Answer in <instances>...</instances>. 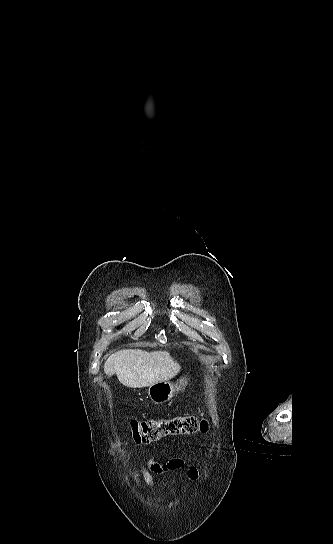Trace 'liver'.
<instances>
[{
	"instance_id": "6515ba94",
	"label": "liver",
	"mask_w": 333,
	"mask_h": 544,
	"mask_svg": "<svg viewBox=\"0 0 333 544\" xmlns=\"http://www.w3.org/2000/svg\"><path fill=\"white\" fill-rule=\"evenodd\" d=\"M181 366L167 351L146 352L126 349L113 353L104 364L108 376L117 375L121 384L130 388H143L168 381L180 372Z\"/></svg>"
}]
</instances>
